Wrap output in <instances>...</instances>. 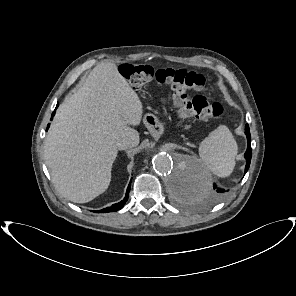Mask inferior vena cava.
<instances>
[{
  "mask_svg": "<svg viewBox=\"0 0 296 296\" xmlns=\"http://www.w3.org/2000/svg\"><path fill=\"white\" fill-rule=\"evenodd\" d=\"M116 146H117V148H118L119 150H125V149H127V148H129V147H133L134 144H133V142H132L130 139H128V138H123V139H121V140H119V141L117 142Z\"/></svg>",
  "mask_w": 296,
  "mask_h": 296,
  "instance_id": "1",
  "label": "inferior vena cava"
}]
</instances>
